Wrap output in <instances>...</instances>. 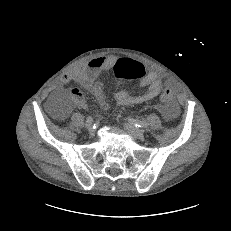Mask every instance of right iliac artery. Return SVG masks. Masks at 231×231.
<instances>
[{
    "mask_svg": "<svg viewBox=\"0 0 231 231\" xmlns=\"http://www.w3.org/2000/svg\"><path fill=\"white\" fill-rule=\"evenodd\" d=\"M92 121H93L92 117L89 116L86 118V122H92Z\"/></svg>",
    "mask_w": 231,
    "mask_h": 231,
    "instance_id": "obj_1",
    "label": "right iliac artery"
}]
</instances>
